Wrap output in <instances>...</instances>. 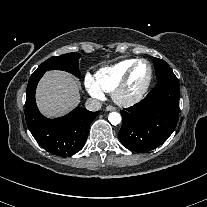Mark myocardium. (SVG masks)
Here are the masks:
<instances>
[{
	"label": "myocardium",
	"mask_w": 207,
	"mask_h": 207,
	"mask_svg": "<svg viewBox=\"0 0 207 207\" xmlns=\"http://www.w3.org/2000/svg\"><path fill=\"white\" fill-rule=\"evenodd\" d=\"M139 63H144L148 66L149 72H148L147 80L144 83V85L136 93H134L133 95L127 96L125 95V89L128 86V83L130 81L134 68ZM152 78H153V69L149 61L145 59H136L127 69L126 73L121 78V80L114 87L112 91V98L114 102L118 104L119 106H123V107H129V106L136 104L144 97V95L148 91L151 85V82H152Z\"/></svg>",
	"instance_id": "f54148a6"
}]
</instances>
